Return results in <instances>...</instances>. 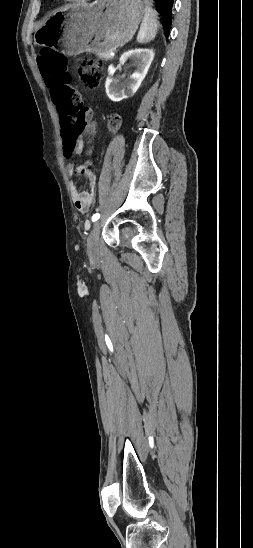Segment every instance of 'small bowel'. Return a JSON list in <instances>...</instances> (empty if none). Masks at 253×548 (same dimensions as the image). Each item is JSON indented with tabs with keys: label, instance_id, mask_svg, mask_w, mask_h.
I'll list each match as a JSON object with an SVG mask.
<instances>
[{
	"label": "small bowel",
	"instance_id": "1",
	"mask_svg": "<svg viewBox=\"0 0 253 548\" xmlns=\"http://www.w3.org/2000/svg\"><path fill=\"white\" fill-rule=\"evenodd\" d=\"M44 74H42L43 76ZM71 80V76H70ZM48 86V83H46ZM84 149V140L82 137H77L74 139V144L71 146L69 153L66 150L65 147V155L67 158H71L73 156H80ZM68 172L70 175H73L74 173L80 174L78 169H74V166L72 163L68 164ZM90 180V190L87 192H81L78 189L77 184L74 181H71L70 183V192L71 196L74 202L75 207L81 211L86 212L90 209L91 205L94 202L95 197V191H96V178L92 174L91 176H87Z\"/></svg>",
	"mask_w": 253,
	"mask_h": 548
}]
</instances>
